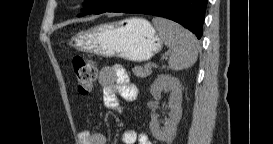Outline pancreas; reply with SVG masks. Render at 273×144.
Wrapping results in <instances>:
<instances>
[{
    "label": "pancreas",
    "instance_id": "1",
    "mask_svg": "<svg viewBox=\"0 0 273 144\" xmlns=\"http://www.w3.org/2000/svg\"><path fill=\"white\" fill-rule=\"evenodd\" d=\"M132 71L133 74L138 78H146L152 73L151 68H146L145 66L144 68L141 66H136Z\"/></svg>",
    "mask_w": 273,
    "mask_h": 144
}]
</instances>
